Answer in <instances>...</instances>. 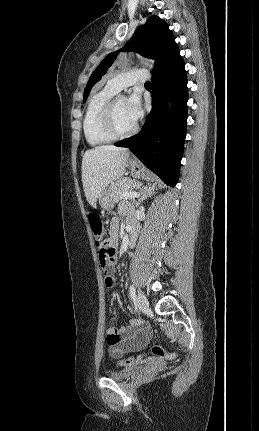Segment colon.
Returning a JSON list of instances; mask_svg holds the SVG:
<instances>
[{
    "mask_svg": "<svg viewBox=\"0 0 259 431\" xmlns=\"http://www.w3.org/2000/svg\"><path fill=\"white\" fill-rule=\"evenodd\" d=\"M89 223L92 233L96 239V245L99 252V261L101 267L107 266L110 268L111 264L115 260V248L109 243L108 240L103 239L104 237V224L101 216L97 213L89 214ZM117 333L113 331L107 332V343L115 344L118 341ZM150 353L156 357L170 359L175 356V354L161 346L154 345L150 349ZM143 359L142 355L136 357H127L120 359L118 361L121 366H130L141 362Z\"/></svg>",
    "mask_w": 259,
    "mask_h": 431,
    "instance_id": "obj_1",
    "label": "colon"
}]
</instances>
